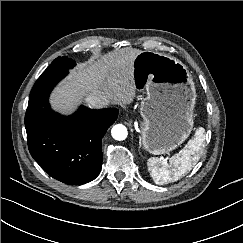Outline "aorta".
<instances>
[{"instance_id":"obj_1","label":"aorta","mask_w":243,"mask_h":243,"mask_svg":"<svg viewBox=\"0 0 243 243\" xmlns=\"http://www.w3.org/2000/svg\"><path fill=\"white\" fill-rule=\"evenodd\" d=\"M111 134L115 140L122 141L127 138L128 131L124 125L117 124L114 125L113 128L111 129Z\"/></svg>"}]
</instances>
